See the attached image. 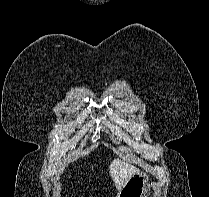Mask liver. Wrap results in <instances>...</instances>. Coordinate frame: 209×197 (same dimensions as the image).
I'll return each instance as SVG.
<instances>
[{
	"label": "liver",
	"instance_id": "1",
	"mask_svg": "<svg viewBox=\"0 0 209 197\" xmlns=\"http://www.w3.org/2000/svg\"><path fill=\"white\" fill-rule=\"evenodd\" d=\"M138 172V168L119 159H114L109 165V174L117 188Z\"/></svg>",
	"mask_w": 209,
	"mask_h": 197
}]
</instances>
